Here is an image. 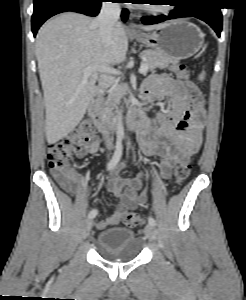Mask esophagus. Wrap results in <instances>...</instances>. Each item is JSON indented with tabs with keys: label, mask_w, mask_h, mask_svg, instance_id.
Masks as SVG:
<instances>
[{
	"label": "esophagus",
	"mask_w": 246,
	"mask_h": 300,
	"mask_svg": "<svg viewBox=\"0 0 246 300\" xmlns=\"http://www.w3.org/2000/svg\"><path fill=\"white\" fill-rule=\"evenodd\" d=\"M128 31L131 33L137 32V27L133 22H130L128 25Z\"/></svg>",
	"instance_id": "esophagus-1"
}]
</instances>
